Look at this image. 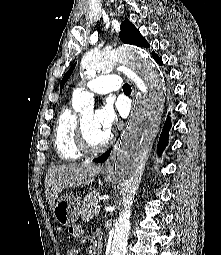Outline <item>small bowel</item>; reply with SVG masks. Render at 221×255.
Segmentation results:
<instances>
[{
	"instance_id": "1",
	"label": "small bowel",
	"mask_w": 221,
	"mask_h": 255,
	"mask_svg": "<svg viewBox=\"0 0 221 255\" xmlns=\"http://www.w3.org/2000/svg\"><path fill=\"white\" fill-rule=\"evenodd\" d=\"M69 234L74 238H80L83 236L84 230L81 225L75 224L69 228ZM67 255H76V253L73 250H70Z\"/></svg>"
}]
</instances>
